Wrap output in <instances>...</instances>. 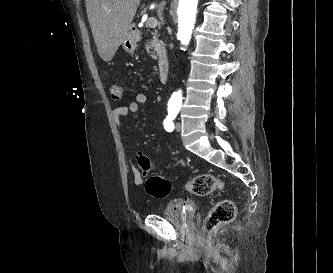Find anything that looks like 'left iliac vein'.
I'll list each match as a JSON object with an SVG mask.
<instances>
[{
  "instance_id": "left-iliac-vein-1",
  "label": "left iliac vein",
  "mask_w": 333,
  "mask_h": 273,
  "mask_svg": "<svg viewBox=\"0 0 333 273\" xmlns=\"http://www.w3.org/2000/svg\"><path fill=\"white\" fill-rule=\"evenodd\" d=\"M175 129H176L178 132L181 131V129H182V125H181L180 122H177V123L175 124Z\"/></svg>"
}]
</instances>
